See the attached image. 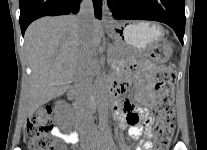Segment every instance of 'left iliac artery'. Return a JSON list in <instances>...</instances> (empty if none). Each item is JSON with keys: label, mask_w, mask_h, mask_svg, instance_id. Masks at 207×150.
<instances>
[{"label": "left iliac artery", "mask_w": 207, "mask_h": 150, "mask_svg": "<svg viewBox=\"0 0 207 150\" xmlns=\"http://www.w3.org/2000/svg\"><path fill=\"white\" fill-rule=\"evenodd\" d=\"M107 139H108V141H112V137L109 132H107Z\"/></svg>", "instance_id": "obj_1"}]
</instances>
